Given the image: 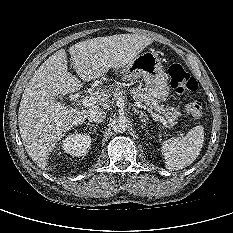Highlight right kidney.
Returning a JSON list of instances; mask_svg holds the SVG:
<instances>
[{
    "label": "right kidney",
    "instance_id": "ca27d5eb",
    "mask_svg": "<svg viewBox=\"0 0 233 233\" xmlns=\"http://www.w3.org/2000/svg\"><path fill=\"white\" fill-rule=\"evenodd\" d=\"M91 145V137L87 134L73 133L62 141V149L71 156H84L88 153Z\"/></svg>",
    "mask_w": 233,
    "mask_h": 233
}]
</instances>
